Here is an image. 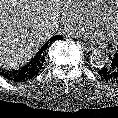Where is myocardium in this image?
<instances>
[{"label":"myocardium","instance_id":"f54148a6","mask_svg":"<svg viewBox=\"0 0 118 118\" xmlns=\"http://www.w3.org/2000/svg\"><path fill=\"white\" fill-rule=\"evenodd\" d=\"M117 3L118 0H112L98 16H95L94 20L96 23L100 25L107 23L115 11V5ZM111 44L118 47V40H111Z\"/></svg>","mask_w":118,"mask_h":118}]
</instances>
